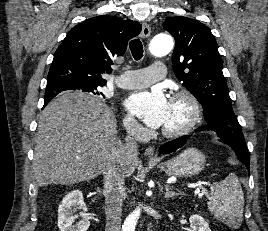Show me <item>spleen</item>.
Here are the masks:
<instances>
[{
    "mask_svg": "<svg viewBox=\"0 0 268 231\" xmlns=\"http://www.w3.org/2000/svg\"><path fill=\"white\" fill-rule=\"evenodd\" d=\"M244 194L237 176L229 174L211 187L208 208L215 218L232 228L243 220Z\"/></svg>",
    "mask_w": 268,
    "mask_h": 231,
    "instance_id": "spleen-1",
    "label": "spleen"
}]
</instances>
